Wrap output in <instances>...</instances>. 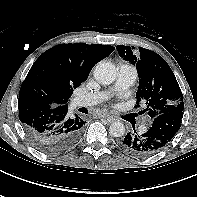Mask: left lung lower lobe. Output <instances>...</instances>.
I'll use <instances>...</instances> for the list:
<instances>
[{
    "label": "left lung lower lobe",
    "instance_id": "obj_1",
    "mask_svg": "<svg viewBox=\"0 0 197 197\" xmlns=\"http://www.w3.org/2000/svg\"><path fill=\"white\" fill-rule=\"evenodd\" d=\"M182 111L161 114L153 119L152 125L143 133L129 132L120 139L119 147L138 158H144L161 151L180 129Z\"/></svg>",
    "mask_w": 197,
    "mask_h": 197
}]
</instances>
